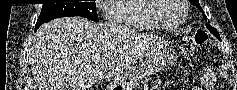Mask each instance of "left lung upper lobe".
<instances>
[{
    "label": "left lung upper lobe",
    "mask_w": 237,
    "mask_h": 90,
    "mask_svg": "<svg viewBox=\"0 0 237 90\" xmlns=\"http://www.w3.org/2000/svg\"><path fill=\"white\" fill-rule=\"evenodd\" d=\"M193 5H195L197 8L201 9L200 8V4H199V1L198 0H189ZM203 17L205 20H207V17L205 14H203ZM206 27L208 28V30L216 37L218 38L219 40L220 39V36H219V33L217 32V30L212 27L209 23L206 24Z\"/></svg>",
    "instance_id": "obj_1"
}]
</instances>
